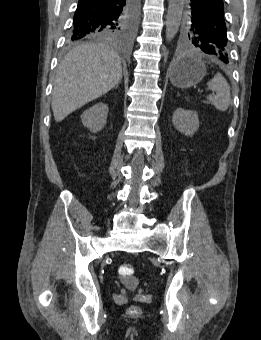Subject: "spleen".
<instances>
[{
	"label": "spleen",
	"instance_id": "1",
	"mask_svg": "<svg viewBox=\"0 0 261 340\" xmlns=\"http://www.w3.org/2000/svg\"><path fill=\"white\" fill-rule=\"evenodd\" d=\"M208 89L216 92L215 95H209V102L219 111H226L231 103L230 87L226 79L217 73L214 78L207 83Z\"/></svg>",
	"mask_w": 261,
	"mask_h": 340
}]
</instances>
